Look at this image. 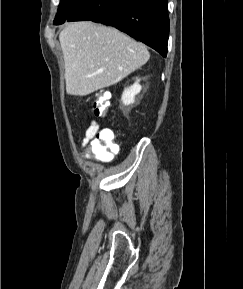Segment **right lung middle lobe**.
<instances>
[{"label": "right lung middle lobe", "mask_w": 243, "mask_h": 289, "mask_svg": "<svg viewBox=\"0 0 243 289\" xmlns=\"http://www.w3.org/2000/svg\"><path fill=\"white\" fill-rule=\"evenodd\" d=\"M83 0H61L54 24L65 21Z\"/></svg>", "instance_id": "right-lung-middle-lobe-1"}]
</instances>
